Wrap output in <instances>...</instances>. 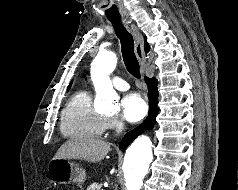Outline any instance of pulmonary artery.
Segmentation results:
<instances>
[{
  "label": "pulmonary artery",
  "mask_w": 238,
  "mask_h": 190,
  "mask_svg": "<svg viewBox=\"0 0 238 190\" xmlns=\"http://www.w3.org/2000/svg\"><path fill=\"white\" fill-rule=\"evenodd\" d=\"M113 86L120 91H126L129 89V85L126 81H124L123 79L119 78V77H115L113 78Z\"/></svg>",
  "instance_id": "obj_1"
}]
</instances>
